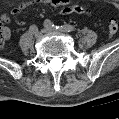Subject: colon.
Wrapping results in <instances>:
<instances>
[{
  "instance_id": "colon-1",
  "label": "colon",
  "mask_w": 119,
  "mask_h": 119,
  "mask_svg": "<svg viewBox=\"0 0 119 119\" xmlns=\"http://www.w3.org/2000/svg\"><path fill=\"white\" fill-rule=\"evenodd\" d=\"M118 31V23L116 20H110L108 24V33L110 36H114ZM4 35H3V28L0 26V43L2 42Z\"/></svg>"
}]
</instances>
